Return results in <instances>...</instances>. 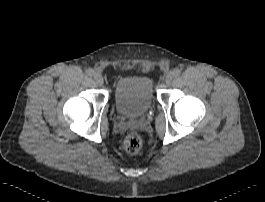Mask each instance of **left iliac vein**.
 Listing matches in <instances>:
<instances>
[{"instance_id":"obj_1","label":"left iliac vein","mask_w":265,"mask_h":202,"mask_svg":"<svg viewBox=\"0 0 265 202\" xmlns=\"http://www.w3.org/2000/svg\"><path fill=\"white\" fill-rule=\"evenodd\" d=\"M174 77H175V74H174L173 71L168 72V73L166 74V77H165V82H166V84H171L172 81H173V79H174Z\"/></svg>"}]
</instances>
